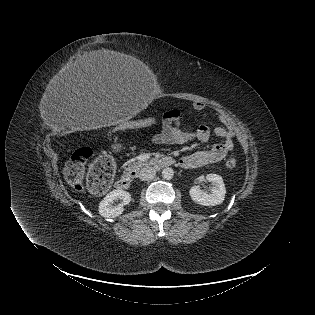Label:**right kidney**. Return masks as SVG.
<instances>
[{"instance_id":"ca27d5eb","label":"right kidney","mask_w":315,"mask_h":315,"mask_svg":"<svg viewBox=\"0 0 315 315\" xmlns=\"http://www.w3.org/2000/svg\"><path fill=\"white\" fill-rule=\"evenodd\" d=\"M120 199L121 203L114 206V200ZM131 195L124 190H113L108 193L99 203V214L105 218H115L120 216L124 211V206L130 203Z\"/></svg>"}]
</instances>
